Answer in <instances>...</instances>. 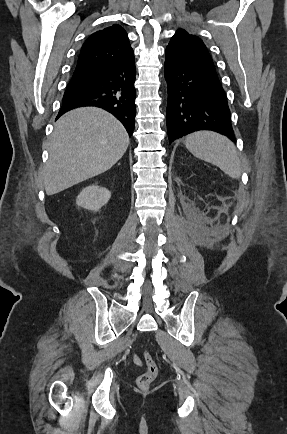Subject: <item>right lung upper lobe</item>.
I'll use <instances>...</instances> for the list:
<instances>
[{"label": "right lung upper lobe", "mask_w": 287, "mask_h": 434, "mask_svg": "<svg viewBox=\"0 0 287 434\" xmlns=\"http://www.w3.org/2000/svg\"><path fill=\"white\" fill-rule=\"evenodd\" d=\"M132 56L126 31L114 24L88 37L81 48L76 69L119 62Z\"/></svg>", "instance_id": "obj_1"}]
</instances>
